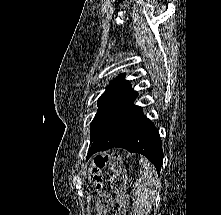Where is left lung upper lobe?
<instances>
[{
	"label": "left lung upper lobe",
	"instance_id": "obj_1",
	"mask_svg": "<svg viewBox=\"0 0 221 215\" xmlns=\"http://www.w3.org/2000/svg\"><path fill=\"white\" fill-rule=\"evenodd\" d=\"M136 97L137 93L130 88L129 81L124 80L123 75L112 80L98 100L99 108L90 126V140L93 141L133 106Z\"/></svg>",
	"mask_w": 221,
	"mask_h": 215
}]
</instances>
